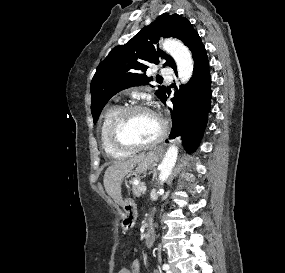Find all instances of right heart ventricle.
Wrapping results in <instances>:
<instances>
[{
	"label": "right heart ventricle",
	"instance_id": "obj_1",
	"mask_svg": "<svg viewBox=\"0 0 285 273\" xmlns=\"http://www.w3.org/2000/svg\"><path fill=\"white\" fill-rule=\"evenodd\" d=\"M120 109L121 107L116 104L107 108L102 115L99 126V137H100L101 146L105 151V153L113 158H122L128 154V152L121 151L116 147H114L109 139V128L111 122Z\"/></svg>",
	"mask_w": 285,
	"mask_h": 273
}]
</instances>
